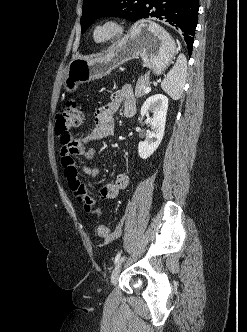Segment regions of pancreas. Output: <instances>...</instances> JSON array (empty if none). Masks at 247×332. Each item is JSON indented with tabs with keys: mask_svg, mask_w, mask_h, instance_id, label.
Here are the masks:
<instances>
[{
	"mask_svg": "<svg viewBox=\"0 0 247 332\" xmlns=\"http://www.w3.org/2000/svg\"><path fill=\"white\" fill-rule=\"evenodd\" d=\"M148 85H149V76L144 75L140 77L135 87V97L136 98L142 97L145 94L144 90L146 87H148Z\"/></svg>",
	"mask_w": 247,
	"mask_h": 332,
	"instance_id": "1",
	"label": "pancreas"
}]
</instances>
